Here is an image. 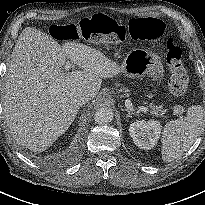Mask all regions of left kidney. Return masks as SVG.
<instances>
[{"instance_id": "left-kidney-1", "label": "left kidney", "mask_w": 205, "mask_h": 205, "mask_svg": "<svg viewBox=\"0 0 205 205\" xmlns=\"http://www.w3.org/2000/svg\"><path fill=\"white\" fill-rule=\"evenodd\" d=\"M161 124L156 120H137L130 124V136L136 146L141 149H152L161 135Z\"/></svg>"}]
</instances>
